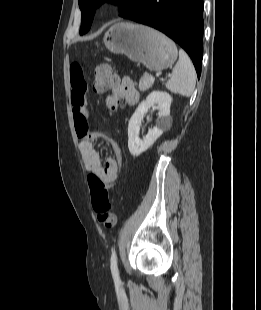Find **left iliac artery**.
Here are the masks:
<instances>
[{"label":"left iliac artery","mask_w":261,"mask_h":310,"mask_svg":"<svg viewBox=\"0 0 261 310\" xmlns=\"http://www.w3.org/2000/svg\"><path fill=\"white\" fill-rule=\"evenodd\" d=\"M110 267H111V272H112L114 281L116 283H119L120 278H119V271H118V266H117V255H116L115 250L112 252V255H111Z\"/></svg>","instance_id":"obj_1"}]
</instances>
